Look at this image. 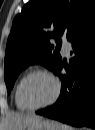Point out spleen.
I'll return each mask as SVG.
<instances>
[{
  "instance_id": "obj_1",
  "label": "spleen",
  "mask_w": 95,
  "mask_h": 130,
  "mask_svg": "<svg viewBox=\"0 0 95 130\" xmlns=\"http://www.w3.org/2000/svg\"><path fill=\"white\" fill-rule=\"evenodd\" d=\"M61 130H74V129L72 127L68 126V125L62 124Z\"/></svg>"
}]
</instances>
